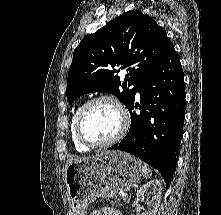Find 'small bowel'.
<instances>
[{"label": "small bowel", "instance_id": "small-bowel-1", "mask_svg": "<svg viewBox=\"0 0 221 215\" xmlns=\"http://www.w3.org/2000/svg\"><path fill=\"white\" fill-rule=\"evenodd\" d=\"M91 215H122V214L117 209H112L110 207H103L93 211Z\"/></svg>", "mask_w": 221, "mask_h": 215}]
</instances>
